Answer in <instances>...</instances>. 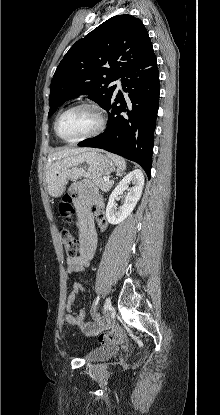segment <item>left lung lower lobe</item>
I'll use <instances>...</instances> for the list:
<instances>
[{
	"instance_id": "1",
	"label": "left lung lower lobe",
	"mask_w": 220,
	"mask_h": 415,
	"mask_svg": "<svg viewBox=\"0 0 220 415\" xmlns=\"http://www.w3.org/2000/svg\"><path fill=\"white\" fill-rule=\"evenodd\" d=\"M125 99L119 91L107 106L105 132L78 145L95 147L137 162L151 175L153 135L159 107V72L155 54L143 65L126 71L121 77ZM120 104V105H119Z\"/></svg>"
}]
</instances>
